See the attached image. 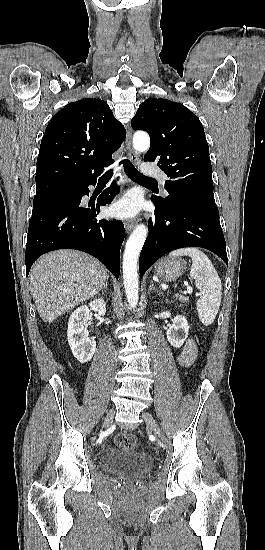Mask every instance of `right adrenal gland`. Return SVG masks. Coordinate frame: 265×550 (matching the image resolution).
Instances as JSON below:
<instances>
[{
  "instance_id": "2a0ac1e0",
  "label": "right adrenal gland",
  "mask_w": 265,
  "mask_h": 550,
  "mask_svg": "<svg viewBox=\"0 0 265 550\" xmlns=\"http://www.w3.org/2000/svg\"><path fill=\"white\" fill-rule=\"evenodd\" d=\"M104 289H106L107 291L109 290L107 282H106L105 285L103 286L102 291H103Z\"/></svg>"
}]
</instances>
